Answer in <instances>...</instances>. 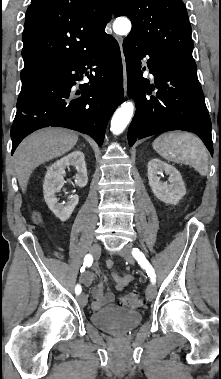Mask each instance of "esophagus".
<instances>
[{
  "label": "esophagus",
  "instance_id": "1",
  "mask_svg": "<svg viewBox=\"0 0 221 379\" xmlns=\"http://www.w3.org/2000/svg\"><path fill=\"white\" fill-rule=\"evenodd\" d=\"M116 39L120 45L121 52H122L123 39L120 36H117ZM122 61H123L124 94L126 95V92H127V74H126V63H125V58L123 56V53H122Z\"/></svg>",
  "mask_w": 221,
  "mask_h": 379
}]
</instances>
